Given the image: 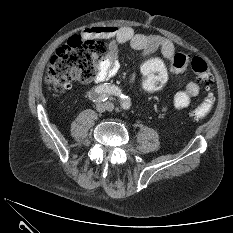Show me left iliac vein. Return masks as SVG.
<instances>
[{
	"mask_svg": "<svg viewBox=\"0 0 233 233\" xmlns=\"http://www.w3.org/2000/svg\"><path fill=\"white\" fill-rule=\"evenodd\" d=\"M107 105L109 111H112L114 109V105L112 103L108 102Z\"/></svg>",
	"mask_w": 233,
	"mask_h": 233,
	"instance_id": "4c4485c4",
	"label": "left iliac vein"
}]
</instances>
